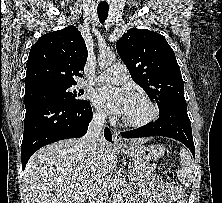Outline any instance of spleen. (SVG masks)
Returning <instances> with one entry per match:
<instances>
[{"mask_svg":"<svg viewBox=\"0 0 222 203\" xmlns=\"http://www.w3.org/2000/svg\"><path fill=\"white\" fill-rule=\"evenodd\" d=\"M181 170L177 172V177L181 183L190 185L194 180V164L191 155L185 148L180 149Z\"/></svg>","mask_w":222,"mask_h":203,"instance_id":"3e777b00","label":"spleen"}]
</instances>
